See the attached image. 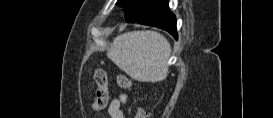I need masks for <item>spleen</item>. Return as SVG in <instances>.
I'll return each instance as SVG.
<instances>
[{
    "label": "spleen",
    "instance_id": "spleen-1",
    "mask_svg": "<svg viewBox=\"0 0 273 118\" xmlns=\"http://www.w3.org/2000/svg\"><path fill=\"white\" fill-rule=\"evenodd\" d=\"M170 54V44L160 33L133 31L117 36L107 57L137 81L159 82L168 75Z\"/></svg>",
    "mask_w": 273,
    "mask_h": 118
}]
</instances>
